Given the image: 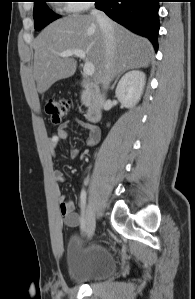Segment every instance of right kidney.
Segmentation results:
<instances>
[{
    "label": "right kidney",
    "instance_id": "1",
    "mask_svg": "<svg viewBox=\"0 0 195 299\" xmlns=\"http://www.w3.org/2000/svg\"><path fill=\"white\" fill-rule=\"evenodd\" d=\"M146 76L142 71L132 70L119 81L115 94L119 102L126 108L134 107L143 94Z\"/></svg>",
    "mask_w": 195,
    "mask_h": 299
}]
</instances>
